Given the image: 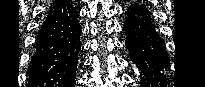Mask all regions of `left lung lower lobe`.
<instances>
[{"label": "left lung lower lobe", "instance_id": "0a47b994", "mask_svg": "<svg viewBox=\"0 0 205 87\" xmlns=\"http://www.w3.org/2000/svg\"><path fill=\"white\" fill-rule=\"evenodd\" d=\"M123 29L130 58L142 74L141 87L164 86L167 82L164 71L170 60L151 12L143 3L134 2L128 7Z\"/></svg>", "mask_w": 205, "mask_h": 87}]
</instances>
